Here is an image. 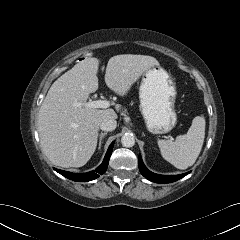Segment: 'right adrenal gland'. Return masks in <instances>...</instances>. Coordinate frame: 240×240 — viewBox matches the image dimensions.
Instances as JSON below:
<instances>
[{"instance_id": "1", "label": "right adrenal gland", "mask_w": 240, "mask_h": 240, "mask_svg": "<svg viewBox=\"0 0 240 240\" xmlns=\"http://www.w3.org/2000/svg\"><path fill=\"white\" fill-rule=\"evenodd\" d=\"M105 135H107V132H104V133H101V134H100V137H99V146H98V149H100V148H101L102 139H103V137H104Z\"/></svg>"}]
</instances>
